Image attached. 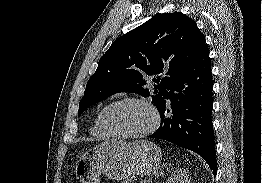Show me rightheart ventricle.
Returning <instances> with one entry per match:
<instances>
[{"label":"right heart ventricle","mask_w":262,"mask_h":183,"mask_svg":"<svg viewBox=\"0 0 262 183\" xmlns=\"http://www.w3.org/2000/svg\"><path fill=\"white\" fill-rule=\"evenodd\" d=\"M102 109L97 113L91 126L90 132L97 139H106L109 136L102 130L100 126V113Z\"/></svg>","instance_id":"e07e8e85"}]
</instances>
